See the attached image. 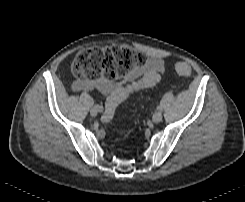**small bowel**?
Returning a JSON list of instances; mask_svg holds the SVG:
<instances>
[{"label":"small bowel","instance_id":"c3829d8e","mask_svg":"<svg viewBox=\"0 0 245 202\" xmlns=\"http://www.w3.org/2000/svg\"><path fill=\"white\" fill-rule=\"evenodd\" d=\"M164 62L159 57H148L143 65L135 66L122 81H112L104 77L93 80L78 79L74 83L76 91H92L107 95V104L115 107L130 95L149 88L159 81L164 71Z\"/></svg>","mask_w":245,"mask_h":202}]
</instances>
